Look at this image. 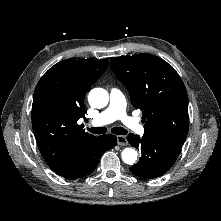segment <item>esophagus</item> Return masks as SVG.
<instances>
[{
    "label": "esophagus",
    "instance_id": "34e87169",
    "mask_svg": "<svg viewBox=\"0 0 221 221\" xmlns=\"http://www.w3.org/2000/svg\"><path fill=\"white\" fill-rule=\"evenodd\" d=\"M117 142L121 146H126L128 144L127 138L123 135H118L117 136Z\"/></svg>",
    "mask_w": 221,
    "mask_h": 221
}]
</instances>
